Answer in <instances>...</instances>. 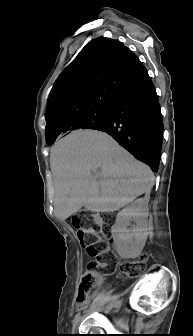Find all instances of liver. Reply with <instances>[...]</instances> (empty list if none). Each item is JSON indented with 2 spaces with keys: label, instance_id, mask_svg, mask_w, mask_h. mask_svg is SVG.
Masks as SVG:
<instances>
[{
  "label": "liver",
  "instance_id": "1",
  "mask_svg": "<svg viewBox=\"0 0 193 336\" xmlns=\"http://www.w3.org/2000/svg\"><path fill=\"white\" fill-rule=\"evenodd\" d=\"M54 212L66 220L81 207L113 212L142 194L149 195L154 175L111 136L96 130L76 131L51 150Z\"/></svg>",
  "mask_w": 193,
  "mask_h": 336
}]
</instances>
